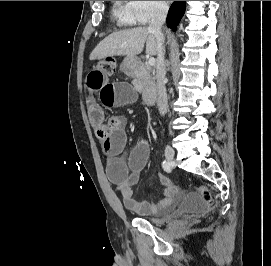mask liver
I'll use <instances>...</instances> for the list:
<instances>
[{"label":"liver","instance_id":"6515ba94","mask_svg":"<svg viewBox=\"0 0 271 266\" xmlns=\"http://www.w3.org/2000/svg\"><path fill=\"white\" fill-rule=\"evenodd\" d=\"M146 43V54H157V38L145 27L114 32L103 39L90 54V60L110 56L126 55L135 57L143 51Z\"/></svg>","mask_w":271,"mask_h":266}]
</instances>
